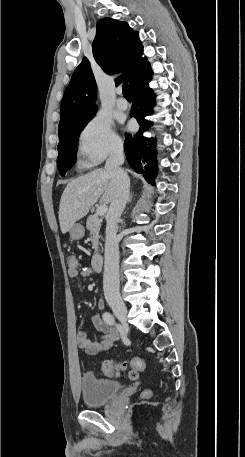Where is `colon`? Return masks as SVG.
<instances>
[{
  "label": "colon",
  "mask_w": 245,
  "mask_h": 457,
  "mask_svg": "<svg viewBox=\"0 0 245 457\" xmlns=\"http://www.w3.org/2000/svg\"><path fill=\"white\" fill-rule=\"evenodd\" d=\"M69 269H77L78 261L73 255H70L67 259ZM130 368L127 373L128 378L134 380L138 376V372L144 368V361L137 356L131 357L126 362H116L113 360H105L102 363V372L108 377H117L124 374L127 368ZM150 392L148 390L142 393V398H148Z\"/></svg>",
  "instance_id": "1"
}]
</instances>
